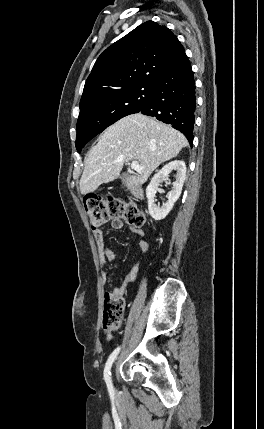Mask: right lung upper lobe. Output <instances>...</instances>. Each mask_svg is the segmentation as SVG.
<instances>
[{"mask_svg":"<svg viewBox=\"0 0 264 429\" xmlns=\"http://www.w3.org/2000/svg\"><path fill=\"white\" fill-rule=\"evenodd\" d=\"M165 26L147 21L108 47L86 80L80 105L136 84H155L183 55Z\"/></svg>","mask_w":264,"mask_h":429,"instance_id":"obj_1","label":"right lung upper lobe"}]
</instances>
